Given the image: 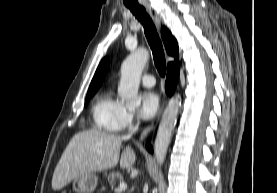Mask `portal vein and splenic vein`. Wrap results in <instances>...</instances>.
<instances>
[{"instance_id":"obj_1","label":"portal vein and splenic vein","mask_w":277,"mask_h":193,"mask_svg":"<svg viewBox=\"0 0 277 193\" xmlns=\"http://www.w3.org/2000/svg\"><path fill=\"white\" fill-rule=\"evenodd\" d=\"M127 189V184L125 182H120L119 187L116 189V192L120 193Z\"/></svg>"}]
</instances>
